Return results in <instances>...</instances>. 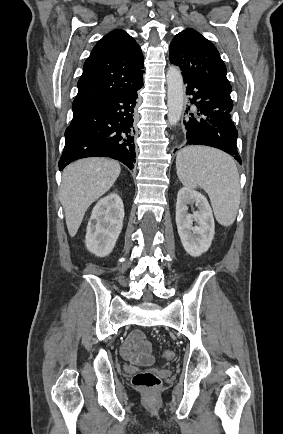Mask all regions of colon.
Segmentation results:
<instances>
[{"instance_id": "colon-1", "label": "colon", "mask_w": 283, "mask_h": 434, "mask_svg": "<svg viewBox=\"0 0 283 434\" xmlns=\"http://www.w3.org/2000/svg\"><path fill=\"white\" fill-rule=\"evenodd\" d=\"M163 358L165 360H173L175 358V352L171 349H166L163 354ZM133 384L136 387L153 390L160 385V378L152 372H139L137 373L132 380Z\"/></svg>"}]
</instances>
